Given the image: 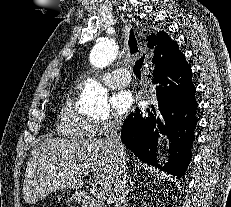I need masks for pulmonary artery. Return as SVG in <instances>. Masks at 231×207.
Here are the masks:
<instances>
[{"instance_id": "pulmonary-artery-1", "label": "pulmonary artery", "mask_w": 231, "mask_h": 207, "mask_svg": "<svg viewBox=\"0 0 231 207\" xmlns=\"http://www.w3.org/2000/svg\"><path fill=\"white\" fill-rule=\"evenodd\" d=\"M100 79L110 87H120L130 82V74L126 68H119L114 71L105 72Z\"/></svg>"}]
</instances>
